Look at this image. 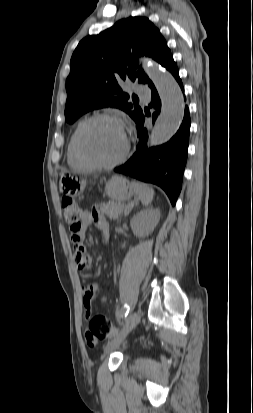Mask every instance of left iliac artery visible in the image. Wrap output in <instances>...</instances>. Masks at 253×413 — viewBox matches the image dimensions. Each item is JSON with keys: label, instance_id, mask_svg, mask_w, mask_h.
<instances>
[{"label": "left iliac artery", "instance_id": "1", "mask_svg": "<svg viewBox=\"0 0 253 413\" xmlns=\"http://www.w3.org/2000/svg\"><path fill=\"white\" fill-rule=\"evenodd\" d=\"M129 311H130L129 305L125 304L124 307H123V309L119 312V315H120L121 317H123V316L126 317V316L128 315V313H129Z\"/></svg>", "mask_w": 253, "mask_h": 413}]
</instances>
